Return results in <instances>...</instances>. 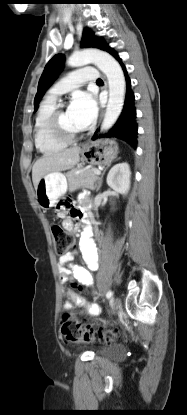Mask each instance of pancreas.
<instances>
[{
    "instance_id": "obj_1",
    "label": "pancreas",
    "mask_w": 187,
    "mask_h": 415,
    "mask_svg": "<svg viewBox=\"0 0 187 415\" xmlns=\"http://www.w3.org/2000/svg\"><path fill=\"white\" fill-rule=\"evenodd\" d=\"M95 168L86 169L76 173L77 170H72L67 173L69 192H74L75 190L81 188H87L94 190L96 188V182L99 179V176L93 172Z\"/></svg>"
}]
</instances>
